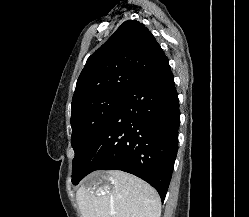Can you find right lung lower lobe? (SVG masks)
<instances>
[{"mask_svg": "<svg viewBox=\"0 0 249 217\" xmlns=\"http://www.w3.org/2000/svg\"><path fill=\"white\" fill-rule=\"evenodd\" d=\"M179 123L174 76L164 56L127 92L90 145L78 183L95 170H122L152 185L163 202L176 159Z\"/></svg>", "mask_w": 249, "mask_h": 217, "instance_id": "obj_1", "label": "right lung lower lobe"}]
</instances>
